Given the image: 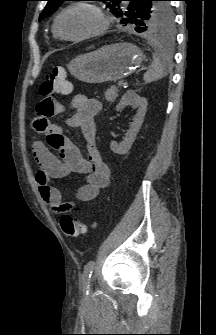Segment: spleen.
Masks as SVG:
<instances>
[{"label":"spleen","mask_w":216,"mask_h":335,"mask_svg":"<svg viewBox=\"0 0 216 335\" xmlns=\"http://www.w3.org/2000/svg\"><path fill=\"white\" fill-rule=\"evenodd\" d=\"M150 43L153 46L155 53L153 54V62L143 77L144 81L147 83L163 78L171 69V62L160 46L155 42Z\"/></svg>","instance_id":"1"}]
</instances>
